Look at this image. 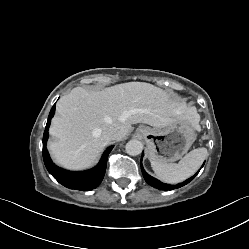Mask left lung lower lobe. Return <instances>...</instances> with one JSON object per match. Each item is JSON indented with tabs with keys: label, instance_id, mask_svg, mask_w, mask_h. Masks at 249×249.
Instances as JSON below:
<instances>
[{
	"label": "left lung lower lobe",
	"instance_id": "obj_1",
	"mask_svg": "<svg viewBox=\"0 0 249 249\" xmlns=\"http://www.w3.org/2000/svg\"><path fill=\"white\" fill-rule=\"evenodd\" d=\"M141 170H142L145 181L149 185H151L157 189H160V190H173L175 188H180V187L186 185L187 183H189L190 181H192L194 179V177L197 175V174H195L193 177L187 179L183 183H179L177 185H169V184H164V183L160 182L159 180L155 179L154 177L150 176L149 174H147L142 167V159H141Z\"/></svg>",
	"mask_w": 249,
	"mask_h": 249
}]
</instances>
